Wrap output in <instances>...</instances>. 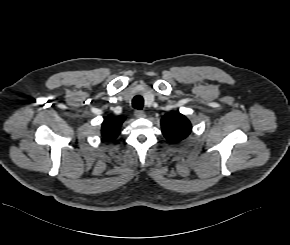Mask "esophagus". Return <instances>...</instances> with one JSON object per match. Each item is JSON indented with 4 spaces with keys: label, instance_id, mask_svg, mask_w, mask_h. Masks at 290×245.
<instances>
[{
    "label": "esophagus",
    "instance_id": "1",
    "mask_svg": "<svg viewBox=\"0 0 290 245\" xmlns=\"http://www.w3.org/2000/svg\"><path fill=\"white\" fill-rule=\"evenodd\" d=\"M135 116L137 118H144L145 117V113L143 111H141V110H136L135 111Z\"/></svg>",
    "mask_w": 290,
    "mask_h": 245
}]
</instances>
